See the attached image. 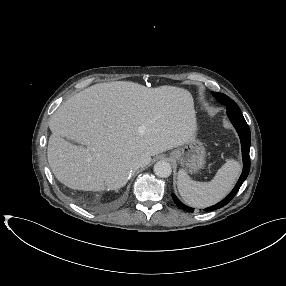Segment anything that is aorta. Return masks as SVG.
Here are the masks:
<instances>
[{
    "instance_id": "aorta-1",
    "label": "aorta",
    "mask_w": 286,
    "mask_h": 286,
    "mask_svg": "<svg viewBox=\"0 0 286 286\" xmlns=\"http://www.w3.org/2000/svg\"><path fill=\"white\" fill-rule=\"evenodd\" d=\"M172 167L167 161H158L154 165V173L158 177L167 178L171 175Z\"/></svg>"
}]
</instances>
